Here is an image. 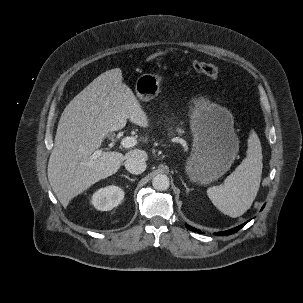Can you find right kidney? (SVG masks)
Instances as JSON below:
<instances>
[{
    "instance_id": "obj_1",
    "label": "right kidney",
    "mask_w": 303,
    "mask_h": 303,
    "mask_svg": "<svg viewBox=\"0 0 303 303\" xmlns=\"http://www.w3.org/2000/svg\"><path fill=\"white\" fill-rule=\"evenodd\" d=\"M124 198V191L118 186L98 189L91 197V204L101 211H109L118 206Z\"/></svg>"
}]
</instances>
